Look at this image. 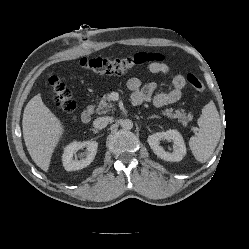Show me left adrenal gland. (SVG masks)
<instances>
[{
  "label": "left adrenal gland",
  "instance_id": "left-adrenal-gland-1",
  "mask_svg": "<svg viewBox=\"0 0 249 249\" xmlns=\"http://www.w3.org/2000/svg\"><path fill=\"white\" fill-rule=\"evenodd\" d=\"M153 118H159V117L154 115V116H150L148 119H153Z\"/></svg>",
  "mask_w": 249,
  "mask_h": 249
}]
</instances>
